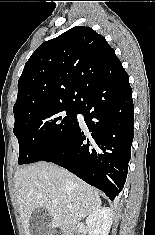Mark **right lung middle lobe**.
Returning a JSON list of instances; mask_svg holds the SVG:
<instances>
[{"mask_svg":"<svg viewBox=\"0 0 155 235\" xmlns=\"http://www.w3.org/2000/svg\"><path fill=\"white\" fill-rule=\"evenodd\" d=\"M77 105H59L31 110L15 118L14 134L19 142L18 163L43 160L59 149L78 125Z\"/></svg>","mask_w":155,"mask_h":235,"instance_id":"obj_1","label":"right lung middle lobe"}]
</instances>
